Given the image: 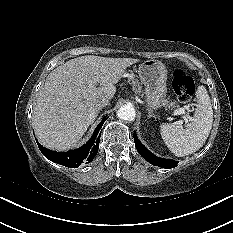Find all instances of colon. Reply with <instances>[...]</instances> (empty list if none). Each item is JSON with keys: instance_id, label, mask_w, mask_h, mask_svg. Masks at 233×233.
<instances>
[{"instance_id": "colon-1", "label": "colon", "mask_w": 233, "mask_h": 233, "mask_svg": "<svg viewBox=\"0 0 233 233\" xmlns=\"http://www.w3.org/2000/svg\"><path fill=\"white\" fill-rule=\"evenodd\" d=\"M173 88L180 102H189L195 92L194 79L184 70L177 69L173 73Z\"/></svg>"}]
</instances>
